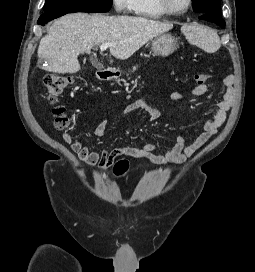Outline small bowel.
I'll use <instances>...</instances> for the list:
<instances>
[{
	"mask_svg": "<svg viewBox=\"0 0 255 272\" xmlns=\"http://www.w3.org/2000/svg\"><path fill=\"white\" fill-rule=\"evenodd\" d=\"M233 84L234 76L232 74L227 75L223 80L222 94L217 102L216 112L203 123L202 131L194 141L187 145L184 138L178 136L174 139L172 146L167 148L164 153H157L156 145L153 143H145L137 146L122 145L115 147L111 151H99L91 150L79 140H73L67 133L63 135V138L65 142L70 144L72 150L78 155L81 161L89 166L97 165L102 169L108 167L119 156L146 159L156 164L183 162L205 146L225 122L234 99ZM207 91L208 86L206 84H197L190 90L189 95L191 97H199L206 94ZM170 98L173 101H182L185 96L180 92H173ZM137 110L145 111L150 122L156 121L160 116L159 111L155 107L144 101H136L130 104L122 112V115L127 116ZM109 124V119L100 121L94 129V135L98 138H103L106 135Z\"/></svg>",
	"mask_w": 255,
	"mask_h": 272,
	"instance_id": "obj_1",
	"label": "small bowel"
}]
</instances>
